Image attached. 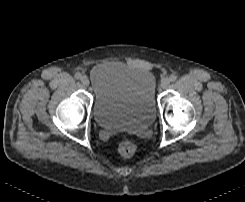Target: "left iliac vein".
<instances>
[{
  "label": "left iliac vein",
  "mask_w": 245,
  "mask_h": 202,
  "mask_svg": "<svg viewBox=\"0 0 245 202\" xmlns=\"http://www.w3.org/2000/svg\"><path fill=\"white\" fill-rule=\"evenodd\" d=\"M169 84H170V80L168 78L162 79V81H161V87L163 89H166L169 86Z\"/></svg>",
  "instance_id": "4c4485c4"
}]
</instances>
